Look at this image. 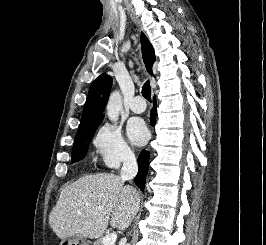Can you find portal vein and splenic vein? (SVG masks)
<instances>
[{
  "label": "portal vein and splenic vein",
  "mask_w": 266,
  "mask_h": 245,
  "mask_svg": "<svg viewBox=\"0 0 266 245\" xmlns=\"http://www.w3.org/2000/svg\"><path fill=\"white\" fill-rule=\"evenodd\" d=\"M116 241H117L116 233H110V235H106V237H103L102 245H115Z\"/></svg>",
  "instance_id": "portal-vein-and-splenic-vein-1"
}]
</instances>
